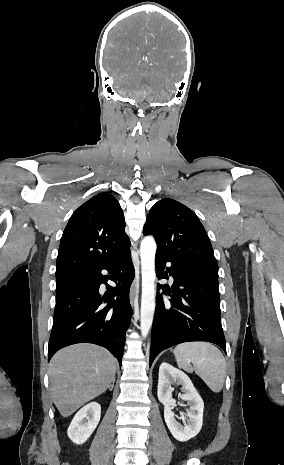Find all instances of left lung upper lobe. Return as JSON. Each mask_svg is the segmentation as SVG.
<instances>
[{
	"instance_id": "left-lung-upper-lobe-1",
	"label": "left lung upper lobe",
	"mask_w": 284,
	"mask_h": 465,
	"mask_svg": "<svg viewBox=\"0 0 284 465\" xmlns=\"http://www.w3.org/2000/svg\"><path fill=\"white\" fill-rule=\"evenodd\" d=\"M153 235L157 253L218 278L211 242L195 213L180 202L163 198L150 210L143 228Z\"/></svg>"
}]
</instances>
